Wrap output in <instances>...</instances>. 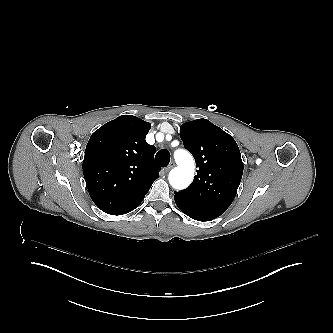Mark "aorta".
Listing matches in <instances>:
<instances>
[{"label":"aorta","mask_w":333,"mask_h":333,"mask_svg":"<svg viewBox=\"0 0 333 333\" xmlns=\"http://www.w3.org/2000/svg\"><path fill=\"white\" fill-rule=\"evenodd\" d=\"M183 154H186L188 158L183 159ZM174 157L179 159L180 165L170 171L168 179L173 188L182 190L187 188L193 180L194 161L192 156L185 150H177Z\"/></svg>","instance_id":"762f6f07"}]
</instances>
